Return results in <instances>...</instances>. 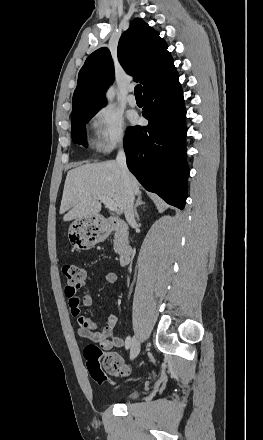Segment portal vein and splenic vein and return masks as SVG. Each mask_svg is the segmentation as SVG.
<instances>
[{"mask_svg":"<svg viewBox=\"0 0 263 440\" xmlns=\"http://www.w3.org/2000/svg\"><path fill=\"white\" fill-rule=\"evenodd\" d=\"M99 199L102 203H104L105 207L108 208L110 211H114V212L118 211L117 204L109 197L99 196Z\"/></svg>","mask_w":263,"mask_h":440,"instance_id":"18ae733b","label":"portal vein and splenic vein"}]
</instances>
